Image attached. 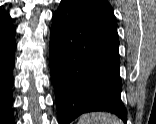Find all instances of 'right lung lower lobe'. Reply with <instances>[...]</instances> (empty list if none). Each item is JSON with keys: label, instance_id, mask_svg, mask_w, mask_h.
Here are the masks:
<instances>
[{"label": "right lung lower lobe", "instance_id": "1", "mask_svg": "<svg viewBox=\"0 0 156 124\" xmlns=\"http://www.w3.org/2000/svg\"><path fill=\"white\" fill-rule=\"evenodd\" d=\"M15 29L13 26H0V124H14L12 113V86Z\"/></svg>", "mask_w": 156, "mask_h": 124}]
</instances>
